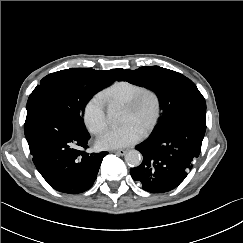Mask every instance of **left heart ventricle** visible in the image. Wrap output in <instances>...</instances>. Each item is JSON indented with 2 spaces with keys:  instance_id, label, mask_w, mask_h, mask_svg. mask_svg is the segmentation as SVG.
<instances>
[{
  "instance_id": "1",
  "label": "left heart ventricle",
  "mask_w": 243,
  "mask_h": 243,
  "mask_svg": "<svg viewBox=\"0 0 243 243\" xmlns=\"http://www.w3.org/2000/svg\"><path fill=\"white\" fill-rule=\"evenodd\" d=\"M155 115V102L152 97L148 96L144 99L140 108L131 111L125 108L122 122L133 123L143 132L149 127Z\"/></svg>"
}]
</instances>
